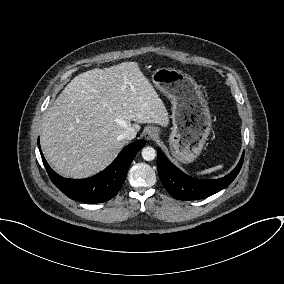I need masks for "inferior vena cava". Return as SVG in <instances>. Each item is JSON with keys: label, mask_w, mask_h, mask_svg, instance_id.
<instances>
[{"label": "inferior vena cava", "mask_w": 284, "mask_h": 284, "mask_svg": "<svg viewBox=\"0 0 284 284\" xmlns=\"http://www.w3.org/2000/svg\"><path fill=\"white\" fill-rule=\"evenodd\" d=\"M137 131L135 128L133 127H128L126 128V130L124 131V133L121 135L123 139L126 140H132L136 137Z\"/></svg>", "instance_id": "1"}]
</instances>
